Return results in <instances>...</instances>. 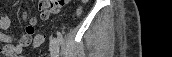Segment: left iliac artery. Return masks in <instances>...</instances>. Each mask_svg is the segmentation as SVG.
<instances>
[{
  "label": "left iliac artery",
  "instance_id": "left-iliac-artery-1",
  "mask_svg": "<svg viewBox=\"0 0 172 57\" xmlns=\"http://www.w3.org/2000/svg\"><path fill=\"white\" fill-rule=\"evenodd\" d=\"M57 38H58V41H59L60 43H62V41H63V35H62V33L57 32Z\"/></svg>",
  "mask_w": 172,
  "mask_h": 57
}]
</instances>
